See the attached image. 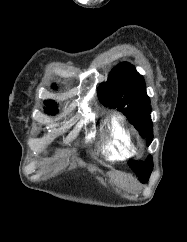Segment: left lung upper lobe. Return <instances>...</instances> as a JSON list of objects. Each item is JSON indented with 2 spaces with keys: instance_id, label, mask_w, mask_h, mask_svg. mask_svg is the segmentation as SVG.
<instances>
[{
  "instance_id": "obj_1",
  "label": "left lung upper lobe",
  "mask_w": 187,
  "mask_h": 242,
  "mask_svg": "<svg viewBox=\"0 0 187 242\" xmlns=\"http://www.w3.org/2000/svg\"><path fill=\"white\" fill-rule=\"evenodd\" d=\"M98 97L106 107L123 112L139 134L147 139V145H150L153 139L150 98L146 93L143 76L133 65L122 62L114 67L107 82L99 86ZM128 164L139 180H148L153 170L151 155L144 161L130 160Z\"/></svg>"
}]
</instances>
